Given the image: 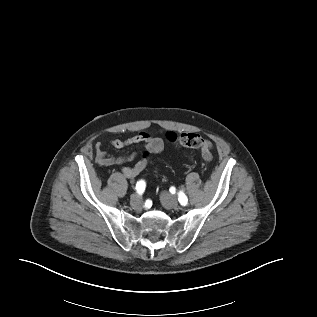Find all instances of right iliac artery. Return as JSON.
Returning <instances> with one entry per match:
<instances>
[{"instance_id": "82829eb1", "label": "right iliac artery", "mask_w": 317, "mask_h": 317, "mask_svg": "<svg viewBox=\"0 0 317 317\" xmlns=\"http://www.w3.org/2000/svg\"><path fill=\"white\" fill-rule=\"evenodd\" d=\"M145 187H146L145 182L143 180H140L137 182L135 189L139 194H142L145 190Z\"/></svg>"}]
</instances>
